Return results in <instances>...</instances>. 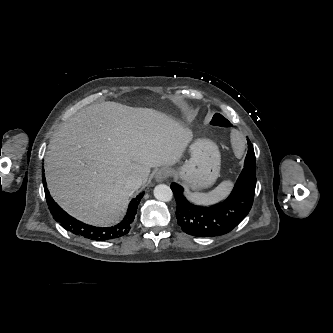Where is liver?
Here are the masks:
<instances>
[{"label": "liver", "mask_w": 333, "mask_h": 333, "mask_svg": "<svg viewBox=\"0 0 333 333\" xmlns=\"http://www.w3.org/2000/svg\"><path fill=\"white\" fill-rule=\"evenodd\" d=\"M192 131L168 116L116 102L80 110L56 132L48 146L45 173L54 200L88 224L115 223L131 190L125 178L175 165Z\"/></svg>", "instance_id": "6515ba94"}]
</instances>
